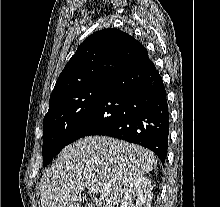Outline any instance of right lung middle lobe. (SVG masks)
Segmentation results:
<instances>
[{"label":"right lung middle lobe","instance_id":"obj_1","mask_svg":"<svg viewBox=\"0 0 220 207\" xmlns=\"http://www.w3.org/2000/svg\"><path fill=\"white\" fill-rule=\"evenodd\" d=\"M107 81L66 92L49 101L43 119V162L49 164L70 143V137L98 103Z\"/></svg>","mask_w":220,"mask_h":207}]
</instances>
